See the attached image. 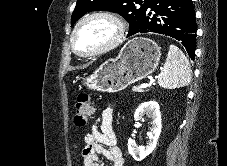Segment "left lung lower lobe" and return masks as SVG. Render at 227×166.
<instances>
[{
  "label": "left lung lower lobe",
  "mask_w": 227,
  "mask_h": 166,
  "mask_svg": "<svg viewBox=\"0 0 227 166\" xmlns=\"http://www.w3.org/2000/svg\"><path fill=\"white\" fill-rule=\"evenodd\" d=\"M151 8L155 14L148 11ZM155 32L173 37L195 57L196 19L192 0H147L143 19L134 33Z\"/></svg>",
  "instance_id": "left-lung-lower-lobe-1"
}]
</instances>
